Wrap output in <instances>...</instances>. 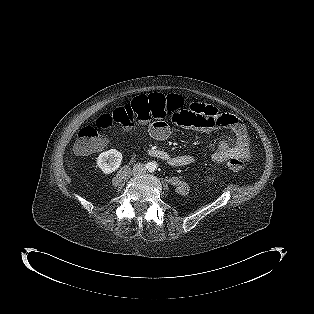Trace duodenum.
Segmentation results:
<instances>
[{
	"instance_id": "obj_1",
	"label": "duodenum",
	"mask_w": 314,
	"mask_h": 314,
	"mask_svg": "<svg viewBox=\"0 0 314 314\" xmlns=\"http://www.w3.org/2000/svg\"><path fill=\"white\" fill-rule=\"evenodd\" d=\"M149 154L154 157L161 158L170 162L173 160V157H171L169 153L160 149H150Z\"/></svg>"
}]
</instances>
